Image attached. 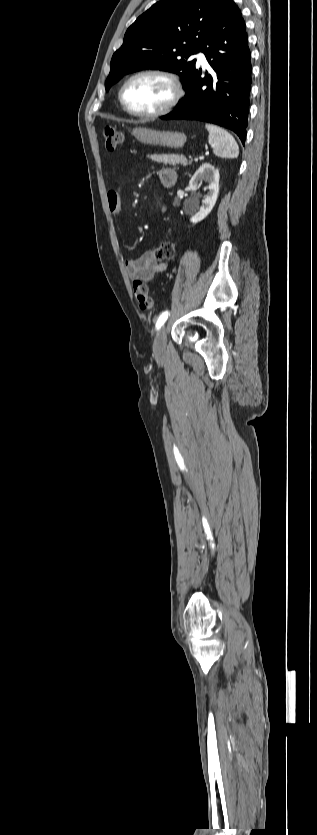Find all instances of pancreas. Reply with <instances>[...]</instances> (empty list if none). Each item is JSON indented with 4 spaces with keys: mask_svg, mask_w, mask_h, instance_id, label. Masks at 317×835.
Returning <instances> with one entry per match:
<instances>
[{
    "mask_svg": "<svg viewBox=\"0 0 317 835\" xmlns=\"http://www.w3.org/2000/svg\"><path fill=\"white\" fill-rule=\"evenodd\" d=\"M148 158H150L153 162L169 164L173 166H175L176 164H182L183 166L191 164V161L188 162L184 155L179 154H152L148 156Z\"/></svg>",
    "mask_w": 317,
    "mask_h": 835,
    "instance_id": "pancreas-1",
    "label": "pancreas"
}]
</instances>
